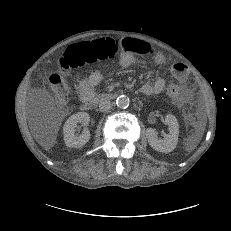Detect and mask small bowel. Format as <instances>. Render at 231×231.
I'll list each match as a JSON object with an SVG mask.
<instances>
[{"mask_svg": "<svg viewBox=\"0 0 231 231\" xmlns=\"http://www.w3.org/2000/svg\"><path fill=\"white\" fill-rule=\"evenodd\" d=\"M122 52L118 57V64L124 67L140 64L139 56L151 55L157 64H165V57L154 51L151 46L139 39L126 37L121 39ZM173 77L180 83H185L188 78V71L184 64L173 63L170 67ZM102 81V74L99 71L92 72L86 79L81 80L77 85V91L82 100L93 98L95 88ZM165 81L156 78L145 82L141 87V92L145 95L158 94L163 91Z\"/></svg>", "mask_w": 231, "mask_h": 231, "instance_id": "c3829d8e", "label": "small bowel"}]
</instances>
